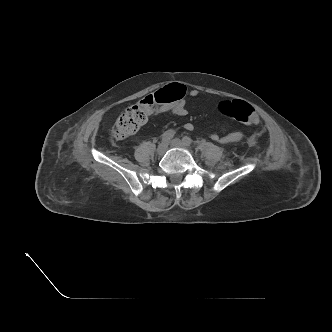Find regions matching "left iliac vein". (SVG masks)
<instances>
[{
  "mask_svg": "<svg viewBox=\"0 0 332 332\" xmlns=\"http://www.w3.org/2000/svg\"><path fill=\"white\" fill-rule=\"evenodd\" d=\"M171 146L173 147H177V148H183V149H186L188 147V145H186L183 141H181L180 139L178 138H175L173 139L171 142H170Z\"/></svg>",
  "mask_w": 332,
  "mask_h": 332,
  "instance_id": "4c4485c4",
  "label": "left iliac vein"
}]
</instances>
